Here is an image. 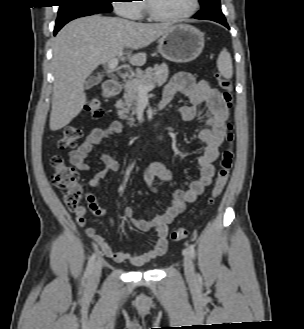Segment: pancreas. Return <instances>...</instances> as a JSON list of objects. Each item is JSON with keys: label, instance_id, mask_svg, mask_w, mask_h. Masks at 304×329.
Here are the masks:
<instances>
[{"label": "pancreas", "instance_id": "obj_1", "mask_svg": "<svg viewBox=\"0 0 304 329\" xmlns=\"http://www.w3.org/2000/svg\"><path fill=\"white\" fill-rule=\"evenodd\" d=\"M168 75V66L163 63L161 65H155L153 68L149 67L144 72L138 73L133 82H126L124 85L125 93L123 100H119L115 104L120 119L129 120L130 122L134 121L132 116L136 114V106L140 97L137 90L138 85L149 86L151 84H157L160 86L167 81ZM130 113L131 118H128V114Z\"/></svg>", "mask_w": 304, "mask_h": 329}]
</instances>
